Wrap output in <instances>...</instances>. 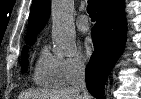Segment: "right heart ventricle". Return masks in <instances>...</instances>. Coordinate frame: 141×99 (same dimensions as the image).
I'll use <instances>...</instances> for the list:
<instances>
[{"label": "right heart ventricle", "instance_id": "obj_1", "mask_svg": "<svg viewBox=\"0 0 141 99\" xmlns=\"http://www.w3.org/2000/svg\"><path fill=\"white\" fill-rule=\"evenodd\" d=\"M34 82L41 87L56 88L63 84L60 71V57L53 55L44 47L35 62Z\"/></svg>", "mask_w": 141, "mask_h": 99}]
</instances>
